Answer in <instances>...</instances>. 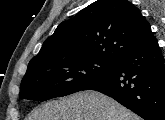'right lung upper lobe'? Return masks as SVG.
<instances>
[{
	"label": "right lung upper lobe",
	"mask_w": 165,
	"mask_h": 120,
	"mask_svg": "<svg viewBox=\"0 0 165 120\" xmlns=\"http://www.w3.org/2000/svg\"><path fill=\"white\" fill-rule=\"evenodd\" d=\"M153 37L150 25L129 1L97 0L59 24L28 67L74 58L114 62Z\"/></svg>",
	"instance_id": "1"
}]
</instances>
